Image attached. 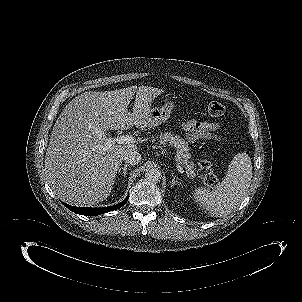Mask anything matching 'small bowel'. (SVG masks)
Returning a JSON list of instances; mask_svg holds the SVG:
<instances>
[{
	"mask_svg": "<svg viewBox=\"0 0 302 302\" xmlns=\"http://www.w3.org/2000/svg\"><path fill=\"white\" fill-rule=\"evenodd\" d=\"M182 127L190 141L201 139L220 140V136L217 134L219 125L216 123L191 120L184 122Z\"/></svg>",
	"mask_w": 302,
	"mask_h": 302,
	"instance_id": "1",
	"label": "small bowel"
}]
</instances>
